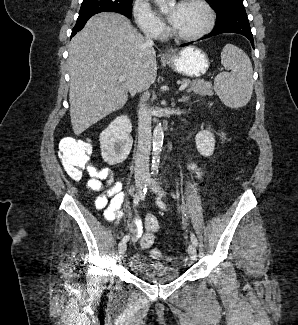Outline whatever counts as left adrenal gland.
<instances>
[{"mask_svg":"<svg viewBox=\"0 0 298 325\" xmlns=\"http://www.w3.org/2000/svg\"><path fill=\"white\" fill-rule=\"evenodd\" d=\"M189 96H181V98H179V102H186V100H188Z\"/></svg>","mask_w":298,"mask_h":325,"instance_id":"1","label":"left adrenal gland"}]
</instances>
